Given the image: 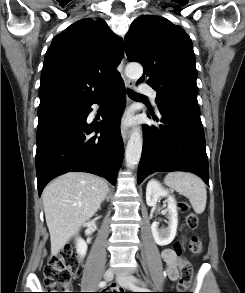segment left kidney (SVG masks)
Instances as JSON below:
<instances>
[{"label": "left kidney", "mask_w": 245, "mask_h": 293, "mask_svg": "<svg viewBox=\"0 0 245 293\" xmlns=\"http://www.w3.org/2000/svg\"><path fill=\"white\" fill-rule=\"evenodd\" d=\"M163 196L167 197L168 203V227L165 229H159L157 222H153L151 225L153 238L160 246L170 244L176 236L178 226L177 203L174 197L170 196L168 191L165 190L158 181L150 180L146 187L147 205L150 207L156 206L160 197Z\"/></svg>", "instance_id": "5707ae66"}]
</instances>
